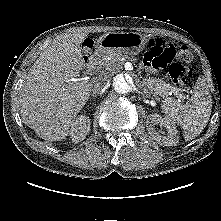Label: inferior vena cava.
I'll use <instances>...</instances> for the list:
<instances>
[{"label": "inferior vena cava", "instance_id": "602c4592", "mask_svg": "<svg viewBox=\"0 0 221 221\" xmlns=\"http://www.w3.org/2000/svg\"><path fill=\"white\" fill-rule=\"evenodd\" d=\"M107 80H108V76L104 75L103 77H100L98 81H96V83L94 84L92 88L93 95H100L102 92L105 91Z\"/></svg>", "mask_w": 221, "mask_h": 221}]
</instances>
